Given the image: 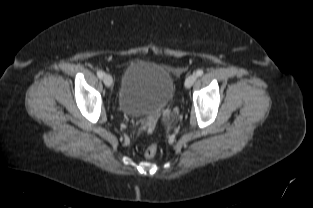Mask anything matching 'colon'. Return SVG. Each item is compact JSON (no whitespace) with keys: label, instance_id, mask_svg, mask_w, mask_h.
<instances>
[{"label":"colon","instance_id":"1","mask_svg":"<svg viewBox=\"0 0 313 208\" xmlns=\"http://www.w3.org/2000/svg\"><path fill=\"white\" fill-rule=\"evenodd\" d=\"M157 151H158V146L157 144L153 143V144H150L149 146H147L144 150V156L146 158H153L156 154H157Z\"/></svg>","mask_w":313,"mask_h":208}]
</instances>
